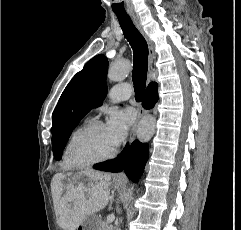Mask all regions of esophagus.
<instances>
[{
    "instance_id": "34e87169",
    "label": "esophagus",
    "mask_w": 241,
    "mask_h": 230,
    "mask_svg": "<svg viewBox=\"0 0 241 230\" xmlns=\"http://www.w3.org/2000/svg\"><path fill=\"white\" fill-rule=\"evenodd\" d=\"M135 26L137 27V29L140 31V33L144 36L147 44H148V49H149V56H148V60H149V70L152 69L153 66V62L155 59V53H154V46L153 43L150 41V39L145 35L143 28L138 20V18L134 15V14H130ZM146 114V110L140 106L138 109V117H137V122L134 125V127L132 128V131L130 133V141H133V139L135 138V134H136V129L137 126L140 122V120L144 117V115Z\"/></svg>"
}]
</instances>
